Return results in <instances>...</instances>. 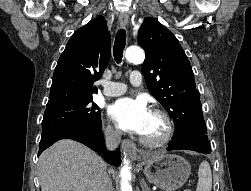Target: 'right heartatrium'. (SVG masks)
I'll use <instances>...</instances> for the list:
<instances>
[{
  "label": "right heart atrium",
  "instance_id": "1",
  "mask_svg": "<svg viewBox=\"0 0 251 191\" xmlns=\"http://www.w3.org/2000/svg\"><path fill=\"white\" fill-rule=\"evenodd\" d=\"M104 136L110 143H115L119 140V133L110 125L104 127Z\"/></svg>",
  "mask_w": 251,
  "mask_h": 191
}]
</instances>
